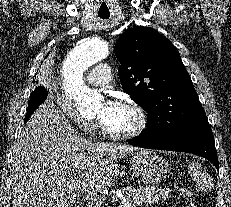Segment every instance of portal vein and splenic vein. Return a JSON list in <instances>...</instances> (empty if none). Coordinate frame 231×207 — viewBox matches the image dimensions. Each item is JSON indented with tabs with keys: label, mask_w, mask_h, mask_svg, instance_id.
<instances>
[{
	"label": "portal vein and splenic vein",
	"mask_w": 231,
	"mask_h": 207,
	"mask_svg": "<svg viewBox=\"0 0 231 207\" xmlns=\"http://www.w3.org/2000/svg\"><path fill=\"white\" fill-rule=\"evenodd\" d=\"M87 196L90 197L91 200L96 201V203L102 202V200H103V197L97 196L93 192H89L88 191V195ZM131 206L132 205L127 200L122 201V203L119 205V207H131Z\"/></svg>",
	"instance_id": "18ae733b"
}]
</instances>
